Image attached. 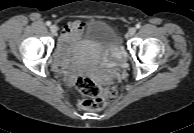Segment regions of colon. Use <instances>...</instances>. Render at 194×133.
I'll return each mask as SVG.
<instances>
[{
    "instance_id": "1",
    "label": "colon",
    "mask_w": 194,
    "mask_h": 133,
    "mask_svg": "<svg viewBox=\"0 0 194 133\" xmlns=\"http://www.w3.org/2000/svg\"><path fill=\"white\" fill-rule=\"evenodd\" d=\"M75 87L81 95L86 97L79 102V106L89 111H98L105 108L117 94L114 87H101L88 77H79L76 80Z\"/></svg>"
}]
</instances>
